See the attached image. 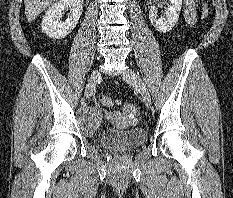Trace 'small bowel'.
I'll use <instances>...</instances> for the list:
<instances>
[{"label": "small bowel", "instance_id": "small-bowel-1", "mask_svg": "<svg viewBox=\"0 0 233 198\" xmlns=\"http://www.w3.org/2000/svg\"><path fill=\"white\" fill-rule=\"evenodd\" d=\"M184 19L188 26H192L196 21L194 0H185Z\"/></svg>", "mask_w": 233, "mask_h": 198}]
</instances>
